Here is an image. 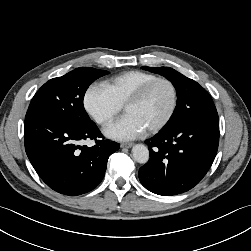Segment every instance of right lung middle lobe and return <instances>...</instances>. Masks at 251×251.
I'll return each mask as SVG.
<instances>
[{
  "mask_svg": "<svg viewBox=\"0 0 251 251\" xmlns=\"http://www.w3.org/2000/svg\"><path fill=\"white\" fill-rule=\"evenodd\" d=\"M108 71L90 67L77 68L46 82L34 95L27 113H41L75 127H90L94 122L84 109L87 88Z\"/></svg>",
  "mask_w": 251,
  "mask_h": 251,
  "instance_id": "1",
  "label": "right lung middle lobe"
}]
</instances>
